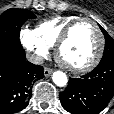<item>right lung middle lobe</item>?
Returning <instances> with one entry per match:
<instances>
[{
    "mask_svg": "<svg viewBox=\"0 0 114 114\" xmlns=\"http://www.w3.org/2000/svg\"><path fill=\"white\" fill-rule=\"evenodd\" d=\"M35 15L26 9H9L0 15V48L22 51L19 35L22 24Z\"/></svg>",
    "mask_w": 114,
    "mask_h": 114,
    "instance_id": "dd1d6c3e",
    "label": "right lung middle lobe"
}]
</instances>
